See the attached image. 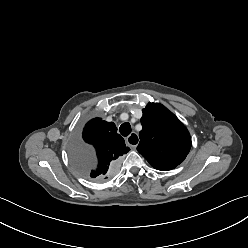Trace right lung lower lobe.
I'll use <instances>...</instances> for the list:
<instances>
[{
  "instance_id": "right-lung-lower-lobe-1",
  "label": "right lung lower lobe",
  "mask_w": 248,
  "mask_h": 248,
  "mask_svg": "<svg viewBox=\"0 0 248 248\" xmlns=\"http://www.w3.org/2000/svg\"><path fill=\"white\" fill-rule=\"evenodd\" d=\"M115 169H116V165H114L111 169H110V171L107 173V175H105L106 176V178H108L114 171H115ZM102 178H100V179H98V180H101Z\"/></svg>"
}]
</instances>
